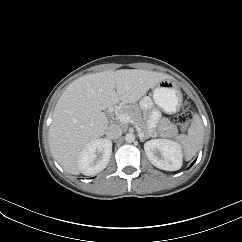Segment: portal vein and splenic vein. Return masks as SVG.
I'll return each mask as SVG.
<instances>
[{
  "mask_svg": "<svg viewBox=\"0 0 242 242\" xmlns=\"http://www.w3.org/2000/svg\"><path fill=\"white\" fill-rule=\"evenodd\" d=\"M118 120L123 123V124H128V123H133L131 116L127 115V114H123L120 113L117 115ZM139 136H144V134L142 132H140V130H138Z\"/></svg>",
  "mask_w": 242,
  "mask_h": 242,
  "instance_id": "obj_1",
  "label": "portal vein and splenic vein"
}]
</instances>
